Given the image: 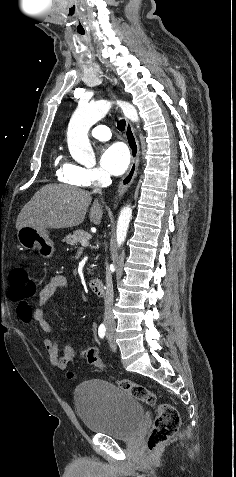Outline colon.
Masks as SVG:
<instances>
[{"instance_id": "colon-1", "label": "colon", "mask_w": 236, "mask_h": 477, "mask_svg": "<svg viewBox=\"0 0 236 477\" xmlns=\"http://www.w3.org/2000/svg\"><path fill=\"white\" fill-rule=\"evenodd\" d=\"M9 278V297L18 302V312L23 314L25 311L31 309L29 300L33 298L37 292L36 283L31 279L28 270L24 266L14 267L10 271ZM81 357L100 369L105 367L99 356L90 348L82 351ZM68 377L72 378L73 373H68ZM117 385L144 403L151 405L156 403L154 393L142 385L126 379L117 380ZM179 426L180 417L177 410L168 404L158 405L157 417L148 436L149 449L154 450L167 442L177 433Z\"/></svg>"}]
</instances>
